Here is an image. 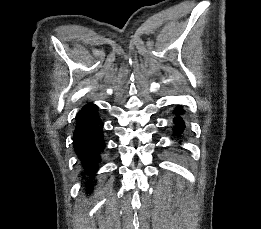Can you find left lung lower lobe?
<instances>
[{
  "instance_id": "0a47b994",
  "label": "left lung lower lobe",
  "mask_w": 261,
  "mask_h": 229,
  "mask_svg": "<svg viewBox=\"0 0 261 229\" xmlns=\"http://www.w3.org/2000/svg\"><path fill=\"white\" fill-rule=\"evenodd\" d=\"M174 113L176 114V117L174 118V123H175V131L174 132L177 135H180V134H182V131H183L184 126H185L184 120L182 119V117L179 116L180 114H182V112L179 109H177V110L174 111Z\"/></svg>"
}]
</instances>
